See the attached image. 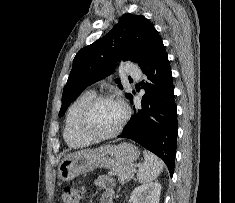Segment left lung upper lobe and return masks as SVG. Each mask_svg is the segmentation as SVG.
<instances>
[{
	"label": "left lung upper lobe",
	"mask_w": 235,
	"mask_h": 203,
	"mask_svg": "<svg viewBox=\"0 0 235 203\" xmlns=\"http://www.w3.org/2000/svg\"><path fill=\"white\" fill-rule=\"evenodd\" d=\"M160 39L153 24L144 16L129 13L121 16L109 33L76 54L63 89L59 116L86 87L111 74L117 61H132L141 67ZM116 82L122 88L120 80ZM125 95L132 97L130 93Z\"/></svg>",
	"instance_id": "left-lung-upper-lobe-1"
}]
</instances>
